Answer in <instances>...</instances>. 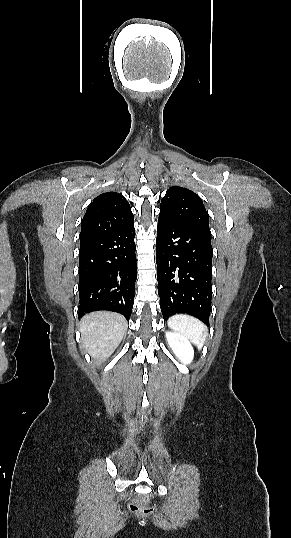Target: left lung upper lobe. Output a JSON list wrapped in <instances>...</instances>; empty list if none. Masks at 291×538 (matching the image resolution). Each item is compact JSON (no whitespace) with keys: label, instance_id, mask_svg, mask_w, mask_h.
Segmentation results:
<instances>
[{"label":"left lung upper lobe","instance_id":"1","mask_svg":"<svg viewBox=\"0 0 291 538\" xmlns=\"http://www.w3.org/2000/svg\"><path fill=\"white\" fill-rule=\"evenodd\" d=\"M160 213L183 223L209 229V215L201 198L187 188H169L161 200Z\"/></svg>","mask_w":291,"mask_h":538}]
</instances>
